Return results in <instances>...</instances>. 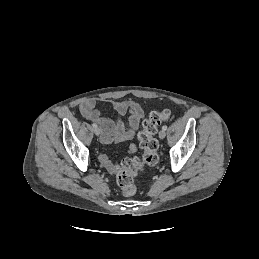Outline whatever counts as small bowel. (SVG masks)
Instances as JSON below:
<instances>
[{"instance_id": "c3829d8e", "label": "small bowel", "mask_w": 259, "mask_h": 259, "mask_svg": "<svg viewBox=\"0 0 259 259\" xmlns=\"http://www.w3.org/2000/svg\"><path fill=\"white\" fill-rule=\"evenodd\" d=\"M108 101L119 115H125L128 112L130 113L129 127L127 129L124 128L121 122H115L112 119L103 116L96 108L95 99L84 100L79 106L80 113L85 119L94 121L100 126L102 132L101 142L105 145L114 141H124L133 138L139 127L140 121L144 117V111L140 104L134 101ZM128 151L129 153H134L136 151V146L133 144L130 145ZM99 159L108 172H116L118 165L113 163L105 154H101Z\"/></svg>"}]
</instances>
